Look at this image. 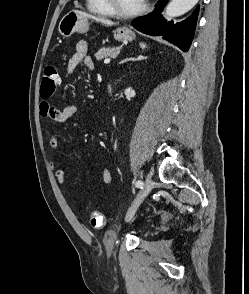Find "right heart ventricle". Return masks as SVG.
Listing matches in <instances>:
<instances>
[{"mask_svg": "<svg viewBox=\"0 0 249 294\" xmlns=\"http://www.w3.org/2000/svg\"><path fill=\"white\" fill-rule=\"evenodd\" d=\"M86 6L91 13L101 16L113 15L109 8L106 6L104 0H86Z\"/></svg>", "mask_w": 249, "mask_h": 294, "instance_id": "right-heart-ventricle-1", "label": "right heart ventricle"}]
</instances>
